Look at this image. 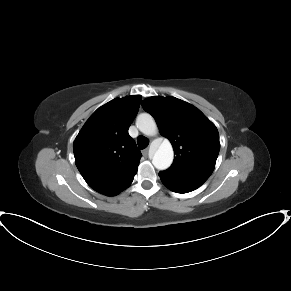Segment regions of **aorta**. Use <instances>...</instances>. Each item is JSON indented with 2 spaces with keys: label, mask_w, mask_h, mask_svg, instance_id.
<instances>
[{
  "label": "aorta",
  "mask_w": 291,
  "mask_h": 291,
  "mask_svg": "<svg viewBox=\"0 0 291 291\" xmlns=\"http://www.w3.org/2000/svg\"><path fill=\"white\" fill-rule=\"evenodd\" d=\"M137 128L147 136H155L158 127L154 118L148 113L138 115L136 119ZM174 152L171 143L165 139L159 145L152 157V163L158 170H166L173 162Z\"/></svg>",
  "instance_id": "aorta-1"
}]
</instances>
